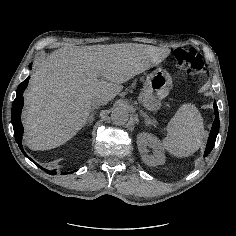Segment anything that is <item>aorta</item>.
Returning <instances> with one entry per match:
<instances>
[{
  "instance_id": "1",
  "label": "aorta",
  "mask_w": 236,
  "mask_h": 236,
  "mask_svg": "<svg viewBox=\"0 0 236 236\" xmlns=\"http://www.w3.org/2000/svg\"><path fill=\"white\" fill-rule=\"evenodd\" d=\"M111 119L115 125L122 126L128 122L129 112L123 107H117L112 111Z\"/></svg>"
}]
</instances>
